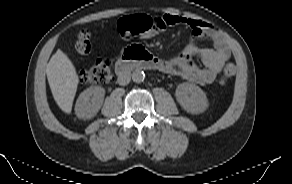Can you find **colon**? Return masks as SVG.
I'll return each mask as SVG.
<instances>
[{
    "label": "colon",
    "mask_w": 292,
    "mask_h": 184,
    "mask_svg": "<svg viewBox=\"0 0 292 184\" xmlns=\"http://www.w3.org/2000/svg\"><path fill=\"white\" fill-rule=\"evenodd\" d=\"M162 32L155 18L148 15H134L122 18L117 25V34L122 39L138 36L145 40H153ZM76 49L80 54L87 55L93 47V40L88 31L82 30L76 41ZM236 73L233 64H227L223 70L221 84L231 79ZM84 84H107L112 81L111 67L108 60L101 59L90 68L80 73Z\"/></svg>",
    "instance_id": "colon-1"
}]
</instances>
